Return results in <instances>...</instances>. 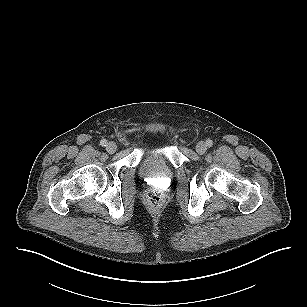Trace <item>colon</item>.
I'll return each instance as SVG.
<instances>
[{"label":"colon","instance_id":"obj_1","mask_svg":"<svg viewBox=\"0 0 307 307\" xmlns=\"http://www.w3.org/2000/svg\"><path fill=\"white\" fill-rule=\"evenodd\" d=\"M145 200L152 209H157L163 204V194L156 188H151L146 192Z\"/></svg>","mask_w":307,"mask_h":307}]
</instances>
